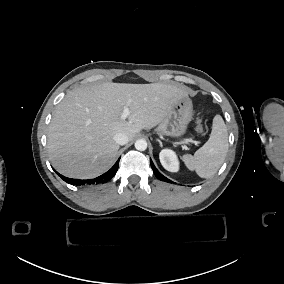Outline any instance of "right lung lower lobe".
I'll use <instances>...</instances> for the list:
<instances>
[{
    "instance_id": "obj_1",
    "label": "right lung lower lobe",
    "mask_w": 284,
    "mask_h": 284,
    "mask_svg": "<svg viewBox=\"0 0 284 284\" xmlns=\"http://www.w3.org/2000/svg\"><path fill=\"white\" fill-rule=\"evenodd\" d=\"M119 160H120V158L118 159V161L114 164V166L109 171H107L106 173H104L103 175H101V176H99L97 178L89 179V180L71 179V178H67V177H64V176L60 175L56 171L55 172L64 181H66L67 183L72 184V185H84V184L91 185V184L106 183L116 174V172L118 170Z\"/></svg>"
}]
</instances>
